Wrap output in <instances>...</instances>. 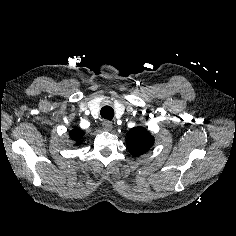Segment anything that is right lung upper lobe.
Returning <instances> with one entry per match:
<instances>
[{"label": "right lung upper lobe", "mask_w": 236, "mask_h": 236, "mask_svg": "<svg viewBox=\"0 0 236 236\" xmlns=\"http://www.w3.org/2000/svg\"><path fill=\"white\" fill-rule=\"evenodd\" d=\"M84 135V132L78 128H74L71 132H70V138L72 140H75L77 145L81 144V139Z\"/></svg>", "instance_id": "obj_1"}]
</instances>
